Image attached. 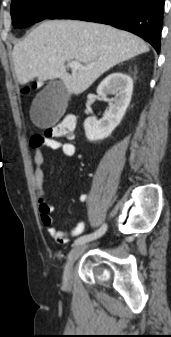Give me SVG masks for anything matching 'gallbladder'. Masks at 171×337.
<instances>
[{"label":"gallbladder","mask_w":171,"mask_h":337,"mask_svg":"<svg viewBox=\"0 0 171 337\" xmlns=\"http://www.w3.org/2000/svg\"><path fill=\"white\" fill-rule=\"evenodd\" d=\"M68 97L69 93L61 81L50 82L32 103V121L39 127L54 125L65 112Z\"/></svg>","instance_id":"1"}]
</instances>
